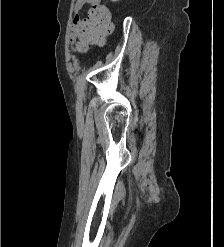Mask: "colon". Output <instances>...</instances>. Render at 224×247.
Here are the masks:
<instances>
[{
	"instance_id": "5ec220e1",
	"label": "colon",
	"mask_w": 224,
	"mask_h": 247,
	"mask_svg": "<svg viewBox=\"0 0 224 247\" xmlns=\"http://www.w3.org/2000/svg\"><path fill=\"white\" fill-rule=\"evenodd\" d=\"M111 29V14L108 8L103 5L94 6L81 26L79 38L83 46L95 44Z\"/></svg>"
}]
</instances>
